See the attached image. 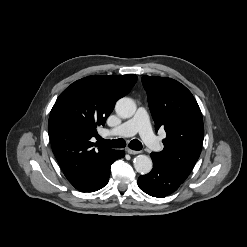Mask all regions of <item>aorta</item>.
Wrapping results in <instances>:
<instances>
[{
  "instance_id": "1",
  "label": "aorta",
  "mask_w": 247,
  "mask_h": 247,
  "mask_svg": "<svg viewBox=\"0 0 247 247\" xmlns=\"http://www.w3.org/2000/svg\"><path fill=\"white\" fill-rule=\"evenodd\" d=\"M116 113L122 118H130L136 112V104L131 98L123 97L115 105ZM134 168L140 174H147L152 170V160L146 155H138L134 158Z\"/></svg>"
}]
</instances>
